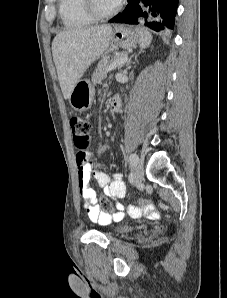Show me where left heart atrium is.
<instances>
[{
  "label": "left heart atrium",
  "instance_id": "1",
  "mask_svg": "<svg viewBox=\"0 0 227 298\" xmlns=\"http://www.w3.org/2000/svg\"><path fill=\"white\" fill-rule=\"evenodd\" d=\"M115 4H117L118 2H120L121 0H113Z\"/></svg>",
  "mask_w": 227,
  "mask_h": 298
}]
</instances>
